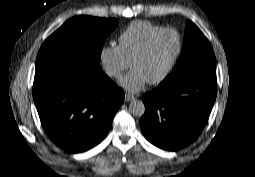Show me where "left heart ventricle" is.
Instances as JSON below:
<instances>
[{
  "label": "left heart ventricle",
  "instance_id": "left-heart-ventricle-1",
  "mask_svg": "<svg viewBox=\"0 0 255 177\" xmlns=\"http://www.w3.org/2000/svg\"><path fill=\"white\" fill-rule=\"evenodd\" d=\"M176 50L177 38L175 34L166 32L154 41L143 58L132 64V70L141 72L147 80H153L165 70Z\"/></svg>",
  "mask_w": 255,
  "mask_h": 177
}]
</instances>
